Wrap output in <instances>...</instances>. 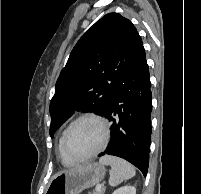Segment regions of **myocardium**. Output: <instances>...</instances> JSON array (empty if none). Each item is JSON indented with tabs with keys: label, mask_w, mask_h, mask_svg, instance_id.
<instances>
[{
	"label": "myocardium",
	"mask_w": 201,
	"mask_h": 194,
	"mask_svg": "<svg viewBox=\"0 0 201 194\" xmlns=\"http://www.w3.org/2000/svg\"><path fill=\"white\" fill-rule=\"evenodd\" d=\"M82 120H93L95 122H97L103 131V138L102 141L100 143V145L91 153H89L88 155L82 156V157H75L70 155L67 150H66V140H67V136L69 131L71 130V128L78 122L82 121ZM110 138V130H109V126L107 121L100 115L94 114V113H85L82 114L78 117H76L74 120H72L68 126L64 129L63 133H62V138H61V151L63 153V155L69 159L72 162L78 163V162H84L87 161L95 156H97L107 145L108 141Z\"/></svg>",
	"instance_id": "f54148a6"
}]
</instances>
